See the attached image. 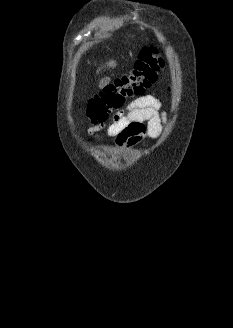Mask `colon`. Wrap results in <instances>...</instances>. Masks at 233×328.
Wrapping results in <instances>:
<instances>
[{
  "label": "colon",
  "instance_id": "5ec220e1",
  "mask_svg": "<svg viewBox=\"0 0 233 328\" xmlns=\"http://www.w3.org/2000/svg\"><path fill=\"white\" fill-rule=\"evenodd\" d=\"M163 65L164 61L157 48H144L130 72L116 77L90 99L87 115L92 123L105 122L113 111L122 107L126 98L143 95L156 81L157 73Z\"/></svg>",
  "mask_w": 233,
  "mask_h": 328
}]
</instances>
